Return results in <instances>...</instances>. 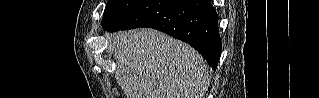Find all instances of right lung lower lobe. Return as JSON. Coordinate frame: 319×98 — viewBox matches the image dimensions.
Here are the masks:
<instances>
[{
  "instance_id": "right-lung-lower-lobe-1",
  "label": "right lung lower lobe",
  "mask_w": 319,
  "mask_h": 98,
  "mask_svg": "<svg viewBox=\"0 0 319 98\" xmlns=\"http://www.w3.org/2000/svg\"><path fill=\"white\" fill-rule=\"evenodd\" d=\"M151 27L187 42L215 70L221 55L218 15L210 0H148L104 29L110 32Z\"/></svg>"
}]
</instances>
